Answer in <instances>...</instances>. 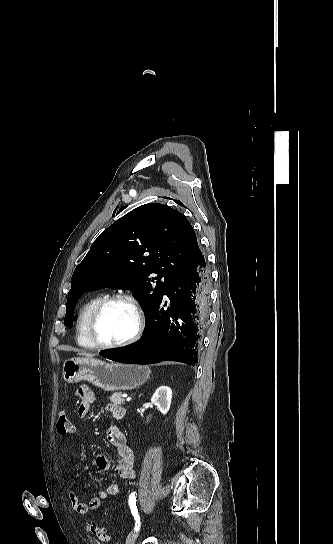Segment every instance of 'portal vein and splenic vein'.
<instances>
[{"mask_svg":"<svg viewBox=\"0 0 333 544\" xmlns=\"http://www.w3.org/2000/svg\"><path fill=\"white\" fill-rule=\"evenodd\" d=\"M122 397H123V398H127L128 395H127V394H123Z\"/></svg>","mask_w":333,"mask_h":544,"instance_id":"obj_1","label":"portal vein and splenic vein"}]
</instances>
